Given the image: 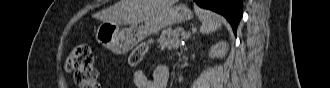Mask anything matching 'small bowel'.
Segmentation results:
<instances>
[{
	"instance_id": "small-bowel-1",
	"label": "small bowel",
	"mask_w": 330,
	"mask_h": 88,
	"mask_svg": "<svg viewBox=\"0 0 330 88\" xmlns=\"http://www.w3.org/2000/svg\"><path fill=\"white\" fill-rule=\"evenodd\" d=\"M169 75L167 66L157 65L152 71L151 80L141 70L133 71L132 79L137 88H166Z\"/></svg>"
}]
</instances>
